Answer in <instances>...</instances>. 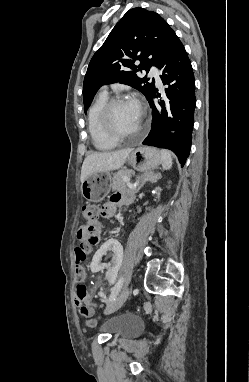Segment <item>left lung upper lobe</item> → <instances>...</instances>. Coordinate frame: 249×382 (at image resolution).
I'll use <instances>...</instances> for the list:
<instances>
[{
  "label": "left lung upper lobe",
  "instance_id": "1",
  "mask_svg": "<svg viewBox=\"0 0 249 382\" xmlns=\"http://www.w3.org/2000/svg\"><path fill=\"white\" fill-rule=\"evenodd\" d=\"M177 38L159 14L143 8L127 11L89 63L83 83L85 113L105 84H127L147 98L155 87L154 79L139 78L136 72L148 73L151 66L159 68Z\"/></svg>",
  "mask_w": 249,
  "mask_h": 382
}]
</instances>
